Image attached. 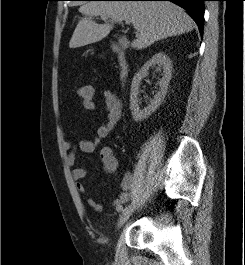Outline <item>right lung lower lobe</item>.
I'll return each instance as SVG.
<instances>
[{"label":"right lung lower lobe","instance_id":"98d812e1","mask_svg":"<svg viewBox=\"0 0 245 265\" xmlns=\"http://www.w3.org/2000/svg\"><path fill=\"white\" fill-rule=\"evenodd\" d=\"M91 1V0H88ZM122 1H171L182 8H184L191 18L196 22L200 30V34H203L204 26V1L206 0H122Z\"/></svg>","mask_w":245,"mask_h":265}]
</instances>
